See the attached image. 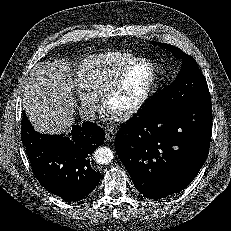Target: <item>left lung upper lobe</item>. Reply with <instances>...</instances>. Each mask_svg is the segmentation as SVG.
I'll use <instances>...</instances> for the list:
<instances>
[{
    "mask_svg": "<svg viewBox=\"0 0 231 231\" xmlns=\"http://www.w3.org/2000/svg\"><path fill=\"white\" fill-rule=\"evenodd\" d=\"M153 43L169 50L175 57L181 58L182 68L176 79L150 99L138 115L156 117L190 102L211 99L206 79L193 57L175 46L160 42Z\"/></svg>",
    "mask_w": 231,
    "mask_h": 231,
    "instance_id": "1",
    "label": "left lung upper lobe"
}]
</instances>
